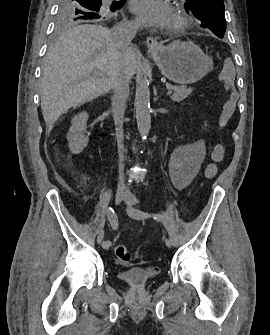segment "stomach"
<instances>
[{
	"label": "stomach",
	"instance_id": "0dacf381",
	"mask_svg": "<svg viewBox=\"0 0 270 335\" xmlns=\"http://www.w3.org/2000/svg\"><path fill=\"white\" fill-rule=\"evenodd\" d=\"M148 50L163 76L175 84H194L213 70L212 58L191 40H175L169 46Z\"/></svg>",
	"mask_w": 270,
	"mask_h": 335
}]
</instances>
